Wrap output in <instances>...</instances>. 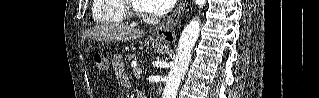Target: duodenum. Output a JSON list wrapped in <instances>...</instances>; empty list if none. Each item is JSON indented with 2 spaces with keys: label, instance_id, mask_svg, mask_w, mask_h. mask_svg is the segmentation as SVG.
Segmentation results:
<instances>
[{
  "label": "duodenum",
  "instance_id": "1",
  "mask_svg": "<svg viewBox=\"0 0 319 98\" xmlns=\"http://www.w3.org/2000/svg\"><path fill=\"white\" fill-rule=\"evenodd\" d=\"M138 98H145V96L144 95H142V94H138V96H137Z\"/></svg>",
  "mask_w": 319,
  "mask_h": 98
}]
</instances>
